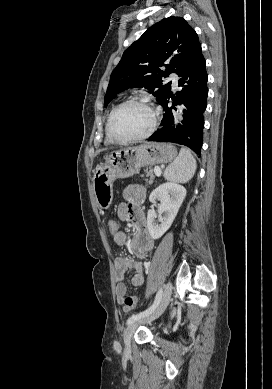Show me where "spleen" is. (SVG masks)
Segmentation results:
<instances>
[{
  "label": "spleen",
  "instance_id": "obj_1",
  "mask_svg": "<svg viewBox=\"0 0 272 389\" xmlns=\"http://www.w3.org/2000/svg\"><path fill=\"white\" fill-rule=\"evenodd\" d=\"M197 163L191 152L181 148L178 157L165 169L164 178L175 183H186L195 174Z\"/></svg>",
  "mask_w": 272,
  "mask_h": 389
}]
</instances>
